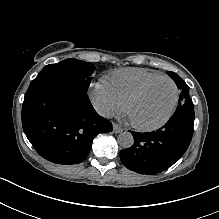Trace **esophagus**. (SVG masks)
<instances>
[{"instance_id": "obj_1", "label": "esophagus", "mask_w": 219, "mask_h": 219, "mask_svg": "<svg viewBox=\"0 0 219 219\" xmlns=\"http://www.w3.org/2000/svg\"><path fill=\"white\" fill-rule=\"evenodd\" d=\"M123 128L121 126H119L118 124H114L113 125V132L116 134H119L121 132H123Z\"/></svg>"}]
</instances>
